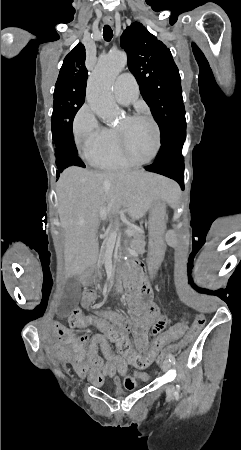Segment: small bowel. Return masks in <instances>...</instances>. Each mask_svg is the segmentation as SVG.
<instances>
[{
  "label": "small bowel",
  "mask_w": 241,
  "mask_h": 450,
  "mask_svg": "<svg viewBox=\"0 0 241 450\" xmlns=\"http://www.w3.org/2000/svg\"><path fill=\"white\" fill-rule=\"evenodd\" d=\"M83 288L85 290L82 294V305L85 308H93L97 293L88 284H84ZM127 304L129 307H144L145 309L143 312L144 316H134V324L124 318L128 315L126 310H123L121 314L113 311L96 313L98 316L106 318L105 324H117V333L127 334L129 329L132 330L134 347L148 348L147 330L144 325H151L150 334L155 336L156 333H161L159 330H162L164 325H169L171 318L169 316H157L159 313L157 312L158 306L155 298H129ZM55 325L58 327L60 324L57 322ZM86 326L89 325L80 324L78 328ZM94 326L97 325L95 324ZM178 331H183L184 333V330ZM52 332L58 336L67 334V344L60 348L59 355L71 361L77 373L81 376H87L92 384L100 385L104 382L105 377H113L119 374L124 378L123 385L126 389H135V379L129 374L130 361H124L122 356H112L113 348L109 346V342L105 341L106 333H98L89 338L86 335H79L73 332L67 333L65 327H58ZM48 344L57 348L61 343L56 339ZM99 351L102 356L98 355ZM135 377L142 382H147L150 378L146 372H136Z\"/></svg>",
  "instance_id": "obj_1"
}]
</instances>
